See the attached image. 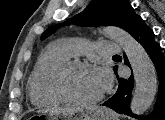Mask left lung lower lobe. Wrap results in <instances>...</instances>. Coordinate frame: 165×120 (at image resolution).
<instances>
[{
    "label": "left lung lower lobe",
    "mask_w": 165,
    "mask_h": 120,
    "mask_svg": "<svg viewBox=\"0 0 165 120\" xmlns=\"http://www.w3.org/2000/svg\"><path fill=\"white\" fill-rule=\"evenodd\" d=\"M133 36L139 42L151 60L153 61L158 78H159V91L157 101L154 105V110L151 115L139 117L142 120H165V56L162 53L160 45L154 39V32L139 17L136 21L132 31ZM125 64L130 67V64L125 56ZM117 72V67L115 73ZM119 87L117 92L106 102L103 106H107L117 113L126 114L132 117H137L130 110L131 93L134 87L133 75L128 79L119 78Z\"/></svg>",
    "instance_id": "1"
}]
</instances>
